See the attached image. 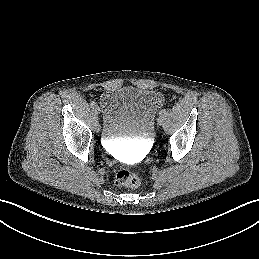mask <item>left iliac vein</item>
Listing matches in <instances>:
<instances>
[{
	"mask_svg": "<svg viewBox=\"0 0 259 259\" xmlns=\"http://www.w3.org/2000/svg\"><path fill=\"white\" fill-rule=\"evenodd\" d=\"M163 121H164V116H160V117L158 118V123H159V125H162V124H163Z\"/></svg>",
	"mask_w": 259,
	"mask_h": 259,
	"instance_id": "obj_1",
	"label": "left iliac vein"
}]
</instances>
